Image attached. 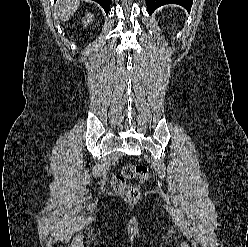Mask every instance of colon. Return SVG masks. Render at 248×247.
<instances>
[{"label":"colon","instance_id":"obj_1","mask_svg":"<svg viewBox=\"0 0 248 247\" xmlns=\"http://www.w3.org/2000/svg\"><path fill=\"white\" fill-rule=\"evenodd\" d=\"M148 178V169L142 164H127L122 168L119 175L113 179L115 190L128 200H136L139 197V190L136 186L128 183V180L145 182Z\"/></svg>","mask_w":248,"mask_h":247}]
</instances>
